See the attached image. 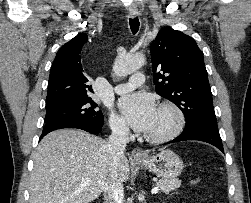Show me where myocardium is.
<instances>
[{
	"label": "myocardium",
	"instance_id": "obj_1",
	"mask_svg": "<svg viewBox=\"0 0 251 203\" xmlns=\"http://www.w3.org/2000/svg\"><path fill=\"white\" fill-rule=\"evenodd\" d=\"M159 110L170 111L174 116V125L166 133L160 135L145 134L144 138L152 143H164L176 138L185 126V116L182 109L173 102H163L158 107Z\"/></svg>",
	"mask_w": 251,
	"mask_h": 203
}]
</instances>
